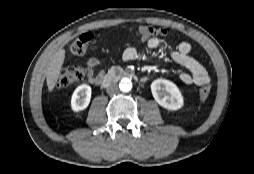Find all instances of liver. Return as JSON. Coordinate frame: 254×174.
Masks as SVG:
<instances>
[{"instance_id":"6515ba94","label":"liver","mask_w":254,"mask_h":174,"mask_svg":"<svg viewBox=\"0 0 254 174\" xmlns=\"http://www.w3.org/2000/svg\"><path fill=\"white\" fill-rule=\"evenodd\" d=\"M64 59H65V50L64 49L58 50L53 57V60L48 68V72L46 75V82L49 91H52L56 86L59 75L61 73L62 65L64 63Z\"/></svg>"}]
</instances>
